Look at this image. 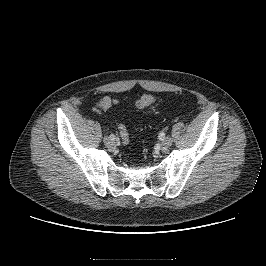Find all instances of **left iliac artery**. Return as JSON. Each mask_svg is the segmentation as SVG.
Listing matches in <instances>:
<instances>
[{"instance_id":"44dca946","label":"left iliac artery","mask_w":266,"mask_h":266,"mask_svg":"<svg viewBox=\"0 0 266 266\" xmlns=\"http://www.w3.org/2000/svg\"><path fill=\"white\" fill-rule=\"evenodd\" d=\"M166 134H167V133H166V131H164V130H163V131H161V133H160V134H158V136H157V138H158V139H157V140H158V142H160V143H161V142H163V140H164V139H165V137H166Z\"/></svg>"}]
</instances>
